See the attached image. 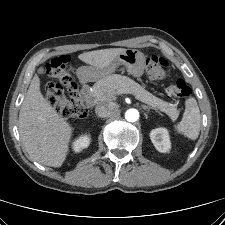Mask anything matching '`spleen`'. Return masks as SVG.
Returning a JSON list of instances; mask_svg holds the SVG:
<instances>
[{
    "instance_id": "3e777b00",
    "label": "spleen",
    "mask_w": 225,
    "mask_h": 225,
    "mask_svg": "<svg viewBox=\"0 0 225 225\" xmlns=\"http://www.w3.org/2000/svg\"><path fill=\"white\" fill-rule=\"evenodd\" d=\"M201 127V115L194 97H190L185 102V112L182 120L174 126L175 130L184 136L195 140L199 136Z\"/></svg>"
}]
</instances>
